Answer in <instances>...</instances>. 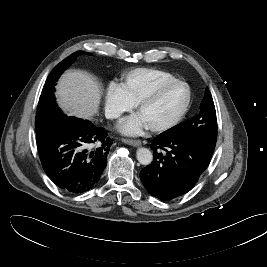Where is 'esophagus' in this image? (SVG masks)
Masks as SVG:
<instances>
[{"instance_id":"34e87169","label":"esophagus","mask_w":267,"mask_h":267,"mask_svg":"<svg viewBox=\"0 0 267 267\" xmlns=\"http://www.w3.org/2000/svg\"><path fill=\"white\" fill-rule=\"evenodd\" d=\"M122 141L128 145L131 146H139L141 145V141L140 140H134V139H122Z\"/></svg>"}]
</instances>
